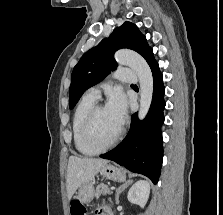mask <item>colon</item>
I'll list each match as a JSON object with an SVG mask.
<instances>
[{
    "mask_svg": "<svg viewBox=\"0 0 223 215\" xmlns=\"http://www.w3.org/2000/svg\"><path fill=\"white\" fill-rule=\"evenodd\" d=\"M70 212L71 215H85V208L79 201H73Z\"/></svg>",
    "mask_w": 223,
    "mask_h": 215,
    "instance_id": "colon-1",
    "label": "colon"
}]
</instances>
